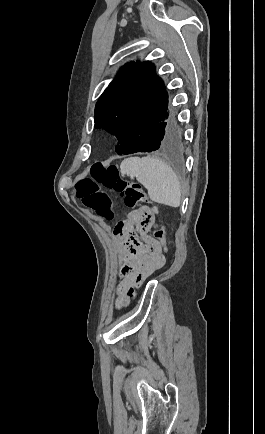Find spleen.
<instances>
[{"label":"spleen","instance_id":"obj_1","mask_svg":"<svg viewBox=\"0 0 265 434\" xmlns=\"http://www.w3.org/2000/svg\"><path fill=\"white\" fill-rule=\"evenodd\" d=\"M122 176L138 180L152 202L178 208L181 200L180 182L172 168L159 158H126L121 162Z\"/></svg>","mask_w":265,"mask_h":434}]
</instances>
